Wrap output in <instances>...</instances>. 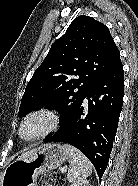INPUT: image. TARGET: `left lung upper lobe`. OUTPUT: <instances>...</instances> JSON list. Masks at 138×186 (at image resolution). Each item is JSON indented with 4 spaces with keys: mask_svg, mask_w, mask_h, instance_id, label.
Listing matches in <instances>:
<instances>
[{
    "mask_svg": "<svg viewBox=\"0 0 138 186\" xmlns=\"http://www.w3.org/2000/svg\"><path fill=\"white\" fill-rule=\"evenodd\" d=\"M119 60L108 28L92 17H76L27 84L19 116L43 107L53 109L63 114L61 127L91 86Z\"/></svg>",
    "mask_w": 138,
    "mask_h": 186,
    "instance_id": "obj_1",
    "label": "left lung upper lobe"
}]
</instances>
